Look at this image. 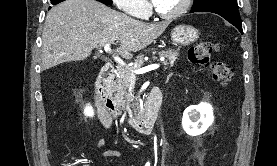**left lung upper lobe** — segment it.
I'll return each instance as SVG.
<instances>
[{
  "label": "left lung upper lobe",
  "instance_id": "1",
  "mask_svg": "<svg viewBox=\"0 0 277 166\" xmlns=\"http://www.w3.org/2000/svg\"><path fill=\"white\" fill-rule=\"evenodd\" d=\"M211 8H226L238 10L237 0H194L190 12H196Z\"/></svg>",
  "mask_w": 277,
  "mask_h": 166
}]
</instances>
